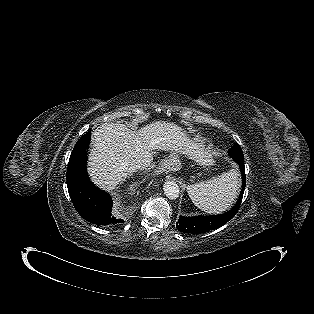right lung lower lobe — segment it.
<instances>
[{
	"mask_svg": "<svg viewBox=\"0 0 314 314\" xmlns=\"http://www.w3.org/2000/svg\"><path fill=\"white\" fill-rule=\"evenodd\" d=\"M91 131L76 143L67 167V187L77 212L88 222L115 225L124 222L120 213L112 212L113 201L109 194L98 189L89 180L86 171L87 148Z\"/></svg>",
	"mask_w": 314,
	"mask_h": 314,
	"instance_id": "obj_1",
	"label": "right lung lower lobe"
}]
</instances>
